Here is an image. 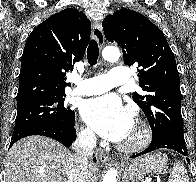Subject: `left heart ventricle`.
<instances>
[{
	"instance_id": "b2bd125f",
	"label": "left heart ventricle",
	"mask_w": 196,
	"mask_h": 182,
	"mask_svg": "<svg viewBox=\"0 0 196 182\" xmlns=\"http://www.w3.org/2000/svg\"><path fill=\"white\" fill-rule=\"evenodd\" d=\"M136 136H137V129H136V125H134L130 135L124 140L123 143H130L134 141L136 139Z\"/></svg>"
}]
</instances>
